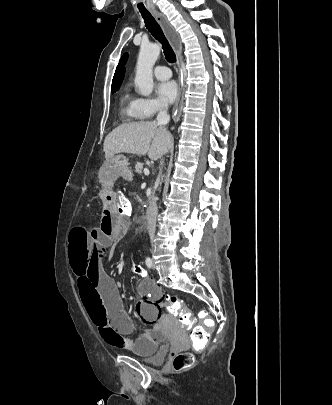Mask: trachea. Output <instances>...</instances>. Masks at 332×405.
Masks as SVG:
<instances>
[{"mask_svg": "<svg viewBox=\"0 0 332 405\" xmlns=\"http://www.w3.org/2000/svg\"><path fill=\"white\" fill-rule=\"evenodd\" d=\"M140 13L144 19L146 28L153 35V37L162 44V48H163V52H164L166 60L169 63L176 62V55H175L171 45L165 38L160 25L156 22V20L153 18V16L147 10H140Z\"/></svg>", "mask_w": 332, "mask_h": 405, "instance_id": "3493384b", "label": "trachea"}]
</instances>
